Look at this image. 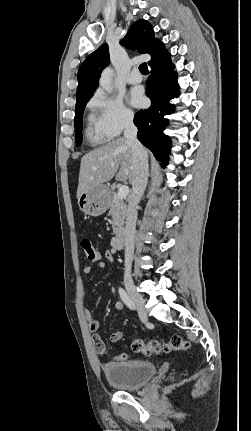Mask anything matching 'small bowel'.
I'll use <instances>...</instances> for the list:
<instances>
[{"label":"small bowel","instance_id":"obj_1","mask_svg":"<svg viewBox=\"0 0 251 431\" xmlns=\"http://www.w3.org/2000/svg\"><path fill=\"white\" fill-rule=\"evenodd\" d=\"M104 256L111 263H113L115 261L113 254L109 251H106L104 253ZM95 266L101 270L106 269V264L103 261H98L95 264ZM92 271H93V267L90 265L85 266L83 269V272L86 275L91 274ZM115 308L118 311H123L124 305L122 302L118 301L115 304ZM84 316H85L86 321L88 322V328L92 334V343H93V347H94L95 351L101 355L107 354L110 350V347L107 346L105 341L102 339V337L98 333L99 328H100V324H99L98 320L94 317L92 311L88 310V309L85 310ZM122 338H123V332L116 331V332H113L112 334H110L109 342L115 343V342L120 341Z\"/></svg>","mask_w":251,"mask_h":431}]
</instances>
